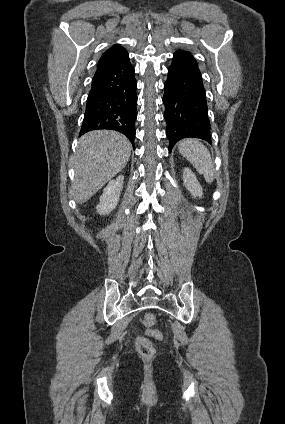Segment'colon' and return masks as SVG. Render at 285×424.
<instances>
[{"mask_svg":"<svg viewBox=\"0 0 285 424\" xmlns=\"http://www.w3.org/2000/svg\"><path fill=\"white\" fill-rule=\"evenodd\" d=\"M156 322V318L152 314H148L144 316L142 319V324L148 328L154 326ZM154 336L157 338H161V335L157 331H152ZM136 350L137 352L146 358H150L155 354V346L148 338L139 336L136 339Z\"/></svg>","mask_w":285,"mask_h":424,"instance_id":"1","label":"colon"}]
</instances>
